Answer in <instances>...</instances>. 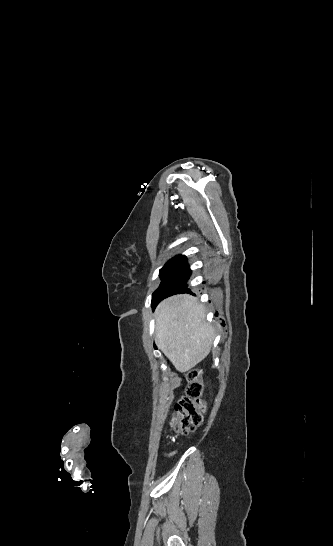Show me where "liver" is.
<instances>
[{
  "mask_svg": "<svg viewBox=\"0 0 333 546\" xmlns=\"http://www.w3.org/2000/svg\"><path fill=\"white\" fill-rule=\"evenodd\" d=\"M197 298L183 294L163 300L155 312L156 344L176 370L186 372L210 352L214 327Z\"/></svg>",
  "mask_w": 333,
  "mask_h": 546,
  "instance_id": "obj_1",
  "label": "liver"
}]
</instances>
